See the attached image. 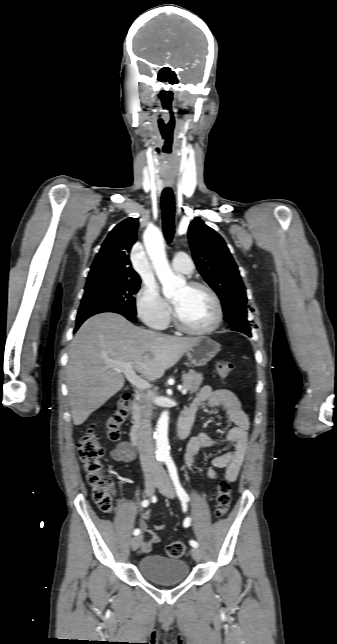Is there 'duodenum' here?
Here are the masks:
<instances>
[{
    "label": "duodenum",
    "instance_id": "410a0bca",
    "mask_svg": "<svg viewBox=\"0 0 337 644\" xmlns=\"http://www.w3.org/2000/svg\"><path fill=\"white\" fill-rule=\"evenodd\" d=\"M131 412L133 420L129 432L130 442L134 447H139L143 436V415L137 399L132 402ZM192 422L193 420L189 415L184 413L181 414L176 428V434L179 440H184L188 437Z\"/></svg>",
    "mask_w": 337,
    "mask_h": 644
}]
</instances>
